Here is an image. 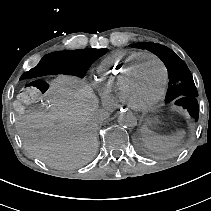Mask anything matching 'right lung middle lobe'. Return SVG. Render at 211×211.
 Segmentation results:
<instances>
[{
  "label": "right lung middle lobe",
  "instance_id": "dd1d6c3e",
  "mask_svg": "<svg viewBox=\"0 0 211 211\" xmlns=\"http://www.w3.org/2000/svg\"><path fill=\"white\" fill-rule=\"evenodd\" d=\"M81 51L84 53V59L82 70L80 71L78 76L83 77L89 66L99 57L104 55L108 51V49H85Z\"/></svg>",
  "mask_w": 211,
  "mask_h": 211
}]
</instances>
